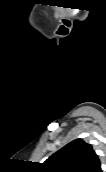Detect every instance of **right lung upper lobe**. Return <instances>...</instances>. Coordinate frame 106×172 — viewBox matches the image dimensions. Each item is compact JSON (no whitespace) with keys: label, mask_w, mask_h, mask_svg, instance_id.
I'll use <instances>...</instances> for the list:
<instances>
[{"label":"right lung upper lobe","mask_w":106,"mask_h":172,"mask_svg":"<svg viewBox=\"0 0 106 172\" xmlns=\"http://www.w3.org/2000/svg\"><path fill=\"white\" fill-rule=\"evenodd\" d=\"M47 172H103L90 144L76 139L50 156L43 164Z\"/></svg>","instance_id":"right-lung-upper-lobe-1"}]
</instances>
